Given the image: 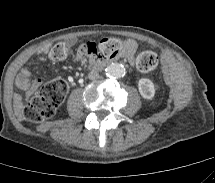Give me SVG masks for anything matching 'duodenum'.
<instances>
[{"mask_svg":"<svg viewBox=\"0 0 215 183\" xmlns=\"http://www.w3.org/2000/svg\"><path fill=\"white\" fill-rule=\"evenodd\" d=\"M112 60H94L89 64V69L91 70H97L100 69L107 64L111 63Z\"/></svg>","mask_w":215,"mask_h":183,"instance_id":"obj_1","label":"duodenum"}]
</instances>
